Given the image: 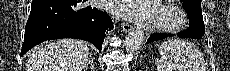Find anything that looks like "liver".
I'll return each mask as SVG.
<instances>
[{"instance_id": "obj_1", "label": "liver", "mask_w": 230, "mask_h": 71, "mask_svg": "<svg viewBox=\"0 0 230 71\" xmlns=\"http://www.w3.org/2000/svg\"><path fill=\"white\" fill-rule=\"evenodd\" d=\"M90 50L83 41L57 40L34 49L28 57L27 71H82Z\"/></svg>"}]
</instances>
